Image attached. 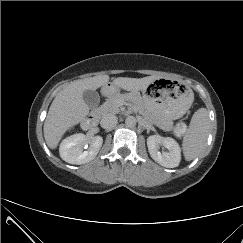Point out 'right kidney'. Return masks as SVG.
<instances>
[{"instance_id":"right-kidney-1","label":"right kidney","mask_w":243,"mask_h":243,"mask_svg":"<svg viewBox=\"0 0 243 243\" xmlns=\"http://www.w3.org/2000/svg\"><path fill=\"white\" fill-rule=\"evenodd\" d=\"M88 144L89 148H87ZM102 144L103 138L101 136L88 139L84 134L78 133L65 138L60 144L59 152L65 162L81 165L93 160ZM83 148L87 150L83 151Z\"/></svg>"}]
</instances>
